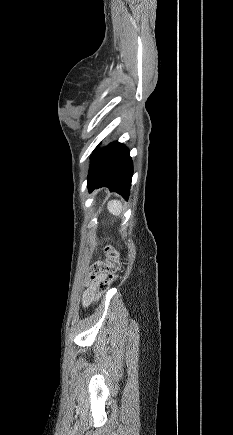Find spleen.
I'll use <instances>...</instances> for the list:
<instances>
[{"instance_id":"1","label":"spleen","mask_w":233,"mask_h":435,"mask_svg":"<svg viewBox=\"0 0 233 435\" xmlns=\"http://www.w3.org/2000/svg\"><path fill=\"white\" fill-rule=\"evenodd\" d=\"M107 208L109 212L115 216H118L122 212V204L120 201L117 200H111L107 204Z\"/></svg>"}]
</instances>
